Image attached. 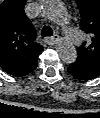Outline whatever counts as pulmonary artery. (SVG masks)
Segmentation results:
<instances>
[{
    "label": "pulmonary artery",
    "instance_id": "e3ab8cb5",
    "mask_svg": "<svg viewBox=\"0 0 100 118\" xmlns=\"http://www.w3.org/2000/svg\"><path fill=\"white\" fill-rule=\"evenodd\" d=\"M67 36L73 41V43H78L81 40V36L77 32L69 31Z\"/></svg>",
    "mask_w": 100,
    "mask_h": 118
}]
</instances>
